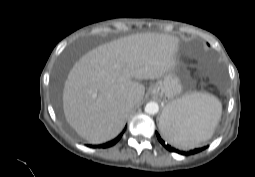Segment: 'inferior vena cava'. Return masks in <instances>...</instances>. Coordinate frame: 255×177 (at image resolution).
<instances>
[{
  "label": "inferior vena cava",
  "instance_id": "602c4592",
  "mask_svg": "<svg viewBox=\"0 0 255 177\" xmlns=\"http://www.w3.org/2000/svg\"><path fill=\"white\" fill-rule=\"evenodd\" d=\"M128 105L129 106H133L134 105V99L133 98L128 99Z\"/></svg>",
  "mask_w": 255,
  "mask_h": 177
}]
</instances>
